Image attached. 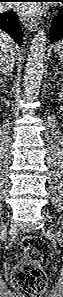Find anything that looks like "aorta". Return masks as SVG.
<instances>
[{
    "label": "aorta",
    "mask_w": 63,
    "mask_h": 297,
    "mask_svg": "<svg viewBox=\"0 0 63 297\" xmlns=\"http://www.w3.org/2000/svg\"><path fill=\"white\" fill-rule=\"evenodd\" d=\"M46 43V31L40 29L32 39L24 72V93L31 99L36 98L40 91Z\"/></svg>",
    "instance_id": "obj_1"
}]
</instances>
